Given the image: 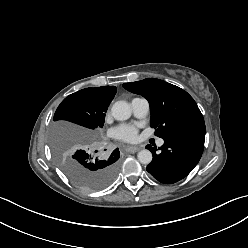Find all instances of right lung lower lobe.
I'll use <instances>...</instances> for the list:
<instances>
[{"label":"right lung lower lobe","instance_id":"1","mask_svg":"<svg viewBox=\"0 0 248 248\" xmlns=\"http://www.w3.org/2000/svg\"><path fill=\"white\" fill-rule=\"evenodd\" d=\"M114 152L118 153V156H119L120 152L118 151V149H115Z\"/></svg>","mask_w":248,"mask_h":248}]
</instances>
